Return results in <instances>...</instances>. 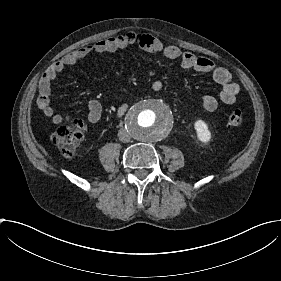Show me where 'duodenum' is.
<instances>
[{"label":"duodenum","mask_w":281,"mask_h":281,"mask_svg":"<svg viewBox=\"0 0 281 281\" xmlns=\"http://www.w3.org/2000/svg\"><path fill=\"white\" fill-rule=\"evenodd\" d=\"M125 110H126V107H125V106H122V107L119 109V111H118L119 115H122Z\"/></svg>","instance_id":"410a0bca"}]
</instances>
